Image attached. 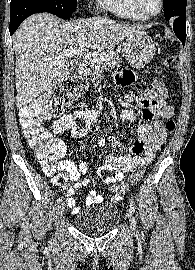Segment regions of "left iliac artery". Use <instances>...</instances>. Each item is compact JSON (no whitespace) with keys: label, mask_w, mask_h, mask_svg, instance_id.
Here are the masks:
<instances>
[{"label":"left iliac artery","mask_w":195,"mask_h":270,"mask_svg":"<svg viewBox=\"0 0 195 270\" xmlns=\"http://www.w3.org/2000/svg\"><path fill=\"white\" fill-rule=\"evenodd\" d=\"M130 208H131V212L132 213H135V205H134V202H130Z\"/></svg>","instance_id":"obj_1"}]
</instances>
